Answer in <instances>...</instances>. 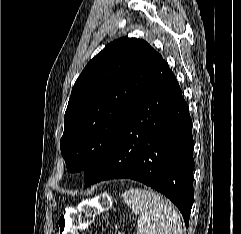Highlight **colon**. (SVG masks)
<instances>
[{
	"mask_svg": "<svg viewBox=\"0 0 241 234\" xmlns=\"http://www.w3.org/2000/svg\"><path fill=\"white\" fill-rule=\"evenodd\" d=\"M110 200L101 195L80 208L65 211L58 220L59 234H81L102 211L108 209Z\"/></svg>",
	"mask_w": 241,
	"mask_h": 234,
	"instance_id": "obj_1",
	"label": "colon"
}]
</instances>
